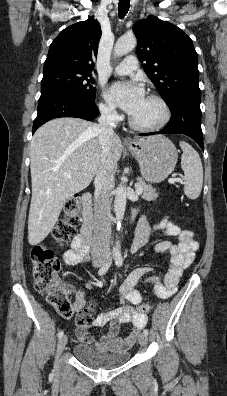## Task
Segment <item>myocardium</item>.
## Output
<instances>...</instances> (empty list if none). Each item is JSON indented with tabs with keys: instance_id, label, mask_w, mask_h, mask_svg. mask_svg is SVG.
<instances>
[{
	"instance_id": "obj_1",
	"label": "myocardium",
	"mask_w": 227,
	"mask_h": 396,
	"mask_svg": "<svg viewBox=\"0 0 227 396\" xmlns=\"http://www.w3.org/2000/svg\"><path fill=\"white\" fill-rule=\"evenodd\" d=\"M147 98L155 101L160 106V108L162 110L161 119L157 123L152 124V125H141V124L137 123L131 116V117H129V124L133 129H135L137 131L155 132V131L161 130L169 123V121L171 119V109H170L168 103L166 102V100L163 97H161L160 95L150 94V95H148Z\"/></svg>"
}]
</instances>
